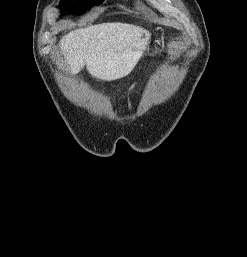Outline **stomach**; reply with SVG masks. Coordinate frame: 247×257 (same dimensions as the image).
<instances>
[{"label":"stomach","instance_id":"1","mask_svg":"<svg viewBox=\"0 0 247 257\" xmlns=\"http://www.w3.org/2000/svg\"><path fill=\"white\" fill-rule=\"evenodd\" d=\"M161 41H162V44H164L163 38L161 39ZM157 42L160 44V41H159V40H158Z\"/></svg>","mask_w":247,"mask_h":257}]
</instances>
